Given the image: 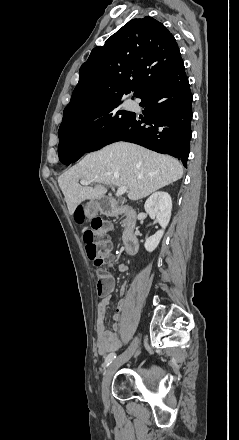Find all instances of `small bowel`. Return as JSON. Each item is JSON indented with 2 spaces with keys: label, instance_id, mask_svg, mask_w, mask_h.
<instances>
[{
  "label": "small bowel",
  "instance_id": "1",
  "mask_svg": "<svg viewBox=\"0 0 239 440\" xmlns=\"http://www.w3.org/2000/svg\"><path fill=\"white\" fill-rule=\"evenodd\" d=\"M129 269L126 264H120L119 270L125 272ZM114 287L113 278L109 275V287L108 290L103 294V297L97 306V348L101 355H109L115 352L121 346V338L119 335L121 313L124 308V304L120 302L118 304L116 313L113 315V326L112 330L106 328L105 318H106V308L110 301V294ZM126 284L121 287V291H125Z\"/></svg>",
  "mask_w": 239,
  "mask_h": 440
}]
</instances>
